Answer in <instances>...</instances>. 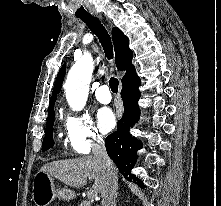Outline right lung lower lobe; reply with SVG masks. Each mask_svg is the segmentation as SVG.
Masks as SVG:
<instances>
[{"label": "right lung lower lobe", "mask_w": 221, "mask_h": 206, "mask_svg": "<svg viewBox=\"0 0 221 206\" xmlns=\"http://www.w3.org/2000/svg\"><path fill=\"white\" fill-rule=\"evenodd\" d=\"M140 84V78L136 73L122 82L121 97L124 114L117 123V130L106 137L105 146L109 157L117 165L119 172L127 180L137 181V184L144 188L143 182L131 174V169L137 159L136 151L142 148V143L129 132L130 128L139 120L138 99L140 92L138 87Z\"/></svg>", "instance_id": "obj_1"}]
</instances>
